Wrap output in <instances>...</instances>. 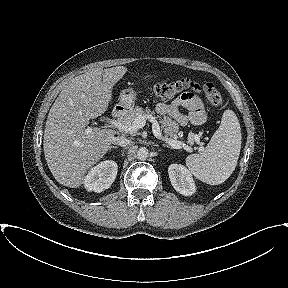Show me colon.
Masks as SVG:
<instances>
[{"mask_svg": "<svg viewBox=\"0 0 288 288\" xmlns=\"http://www.w3.org/2000/svg\"><path fill=\"white\" fill-rule=\"evenodd\" d=\"M200 86H202L209 104L219 106L223 103V97L213 83H198L190 78H183L172 82L156 83L150 87V90L151 93L158 98L170 99L186 93L185 91L189 88H198Z\"/></svg>", "mask_w": 288, "mask_h": 288, "instance_id": "colon-1", "label": "colon"}]
</instances>
